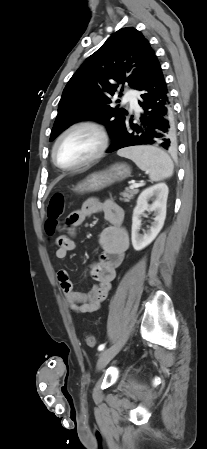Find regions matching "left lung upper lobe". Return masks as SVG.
I'll use <instances>...</instances> for the list:
<instances>
[{"label":"left lung upper lobe","instance_id":"1","mask_svg":"<svg viewBox=\"0 0 207 449\" xmlns=\"http://www.w3.org/2000/svg\"><path fill=\"white\" fill-rule=\"evenodd\" d=\"M154 50L143 34L132 27L113 33L89 56L68 81L58 106L50 141L80 120H94L107 127L115 138L128 118L124 108L111 107L112 97L121 95L119 84L139 89L152 65Z\"/></svg>","mask_w":207,"mask_h":449}]
</instances>
